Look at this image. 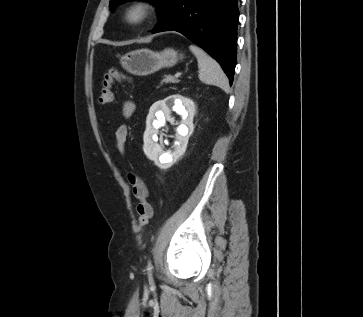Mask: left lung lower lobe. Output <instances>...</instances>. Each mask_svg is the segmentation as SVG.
I'll use <instances>...</instances> for the list:
<instances>
[{"mask_svg":"<svg viewBox=\"0 0 363 317\" xmlns=\"http://www.w3.org/2000/svg\"><path fill=\"white\" fill-rule=\"evenodd\" d=\"M238 17L237 0H170L152 33H182L220 63L232 84Z\"/></svg>","mask_w":363,"mask_h":317,"instance_id":"left-lung-lower-lobe-1","label":"left lung lower lobe"}]
</instances>
